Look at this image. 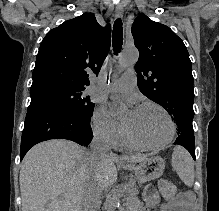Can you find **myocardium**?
<instances>
[{"instance_id": "1", "label": "myocardium", "mask_w": 219, "mask_h": 211, "mask_svg": "<svg viewBox=\"0 0 219 211\" xmlns=\"http://www.w3.org/2000/svg\"><path fill=\"white\" fill-rule=\"evenodd\" d=\"M145 106H154L157 107L158 109H160L165 116L168 119L169 122V126H170V131H169V135L168 137L161 143L158 144H145L140 142L139 140H137L127 129L126 125L123 124V129H124V135L126 137V139L128 140V142L140 149H146V150H156V149H161L165 146H167L168 144H170L172 142V140L174 139L175 133H176V125L175 122L172 118V115L170 114V112L161 104L154 102V101H144L141 102L137 108H141V107H145Z\"/></svg>"}]
</instances>
